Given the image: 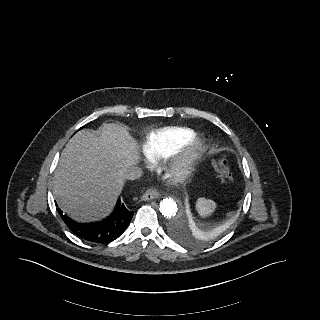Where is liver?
Wrapping results in <instances>:
<instances>
[{"instance_id":"1","label":"liver","mask_w":320,"mask_h":320,"mask_svg":"<svg viewBox=\"0 0 320 320\" xmlns=\"http://www.w3.org/2000/svg\"><path fill=\"white\" fill-rule=\"evenodd\" d=\"M136 142L119 124L104 123L99 135L76 133L63 150L53 177L61 210L79 222L96 221L113 208L125 173L138 159Z\"/></svg>"}]
</instances>
